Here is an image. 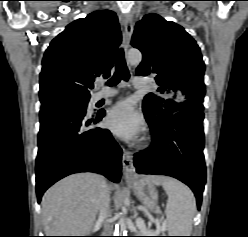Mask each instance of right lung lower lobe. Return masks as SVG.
Wrapping results in <instances>:
<instances>
[{
	"label": "right lung lower lobe",
	"instance_id": "right-lung-lower-lobe-1",
	"mask_svg": "<svg viewBox=\"0 0 248 237\" xmlns=\"http://www.w3.org/2000/svg\"><path fill=\"white\" fill-rule=\"evenodd\" d=\"M85 116L86 111L74 108H41L36 158L38 203L52 184L73 173L90 171L115 183L120 181L121 148L107 129H90L104 113Z\"/></svg>",
	"mask_w": 248,
	"mask_h": 237
}]
</instances>
